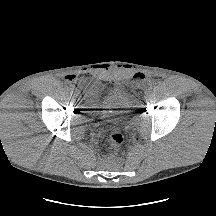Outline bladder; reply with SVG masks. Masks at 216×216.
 Segmentation results:
<instances>
[{
	"instance_id": "31cf9c89",
	"label": "bladder",
	"mask_w": 216,
	"mask_h": 216,
	"mask_svg": "<svg viewBox=\"0 0 216 216\" xmlns=\"http://www.w3.org/2000/svg\"><path fill=\"white\" fill-rule=\"evenodd\" d=\"M84 101L89 115L106 123L127 119L135 111L131 96L114 84H106L96 91H86Z\"/></svg>"
}]
</instances>
